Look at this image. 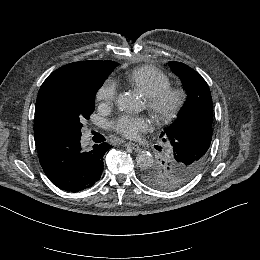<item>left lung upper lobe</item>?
I'll use <instances>...</instances> for the list:
<instances>
[{
  "label": "left lung upper lobe",
  "instance_id": "obj_1",
  "mask_svg": "<svg viewBox=\"0 0 260 260\" xmlns=\"http://www.w3.org/2000/svg\"><path fill=\"white\" fill-rule=\"evenodd\" d=\"M169 66L182 80L188 98L178 118L161 133L170 141L172 153L146 167L141 174L145 183L160 190H175L188 183L206 162L212 139L209 86L189 66L176 61L169 62Z\"/></svg>",
  "mask_w": 260,
  "mask_h": 260
}]
</instances>
